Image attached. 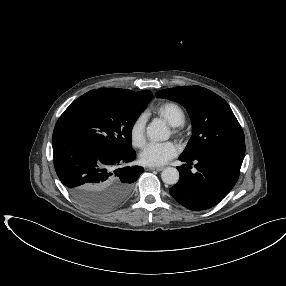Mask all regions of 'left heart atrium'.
I'll list each match as a JSON object with an SVG mask.
<instances>
[{
	"mask_svg": "<svg viewBox=\"0 0 286 286\" xmlns=\"http://www.w3.org/2000/svg\"><path fill=\"white\" fill-rule=\"evenodd\" d=\"M179 152L173 142L149 143L139 155L140 162L146 166H161L174 158Z\"/></svg>",
	"mask_w": 286,
	"mask_h": 286,
	"instance_id": "obj_1",
	"label": "left heart atrium"
}]
</instances>
